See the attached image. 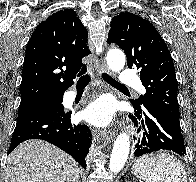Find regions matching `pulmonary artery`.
I'll use <instances>...</instances> for the list:
<instances>
[{"label":"pulmonary artery","mask_w":196,"mask_h":182,"mask_svg":"<svg viewBox=\"0 0 196 182\" xmlns=\"http://www.w3.org/2000/svg\"><path fill=\"white\" fill-rule=\"evenodd\" d=\"M120 83L138 87V76L133 71L125 70L120 75ZM72 95L75 96V93L73 92Z\"/></svg>","instance_id":"obj_1"}]
</instances>
